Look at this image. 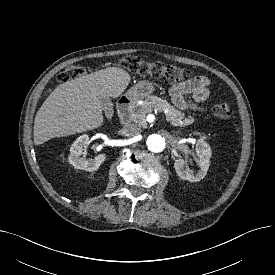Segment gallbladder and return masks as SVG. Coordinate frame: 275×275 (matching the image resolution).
<instances>
[{
    "instance_id": "obj_1",
    "label": "gallbladder",
    "mask_w": 275,
    "mask_h": 275,
    "mask_svg": "<svg viewBox=\"0 0 275 275\" xmlns=\"http://www.w3.org/2000/svg\"><path fill=\"white\" fill-rule=\"evenodd\" d=\"M102 109L104 110L106 115H110L113 112V103L111 102L109 97H104L101 99Z\"/></svg>"
}]
</instances>
